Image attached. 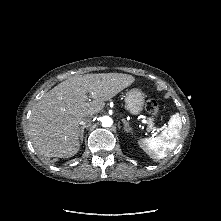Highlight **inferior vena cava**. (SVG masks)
Listing matches in <instances>:
<instances>
[{"mask_svg": "<svg viewBox=\"0 0 221 221\" xmlns=\"http://www.w3.org/2000/svg\"><path fill=\"white\" fill-rule=\"evenodd\" d=\"M92 117L93 116L91 114L82 116L79 120V124L85 125V124L89 123L92 120Z\"/></svg>", "mask_w": 221, "mask_h": 221, "instance_id": "obj_1", "label": "inferior vena cava"}]
</instances>
